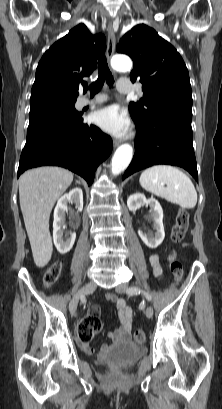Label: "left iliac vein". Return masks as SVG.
<instances>
[{
	"label": "left iliac vein",
	"instance_id": "obj_1",
	"mask_svg": "<svg viewBox=\"0 0 222 409\" xmlns=\"http://www.w3.org/2000/svg\"><path fill=\"white\" fill-rule=\"evenodd\" d=\"M128 288V285L125 283H121L119 285L116 286L115 291L117 293L123 294L126 293ZM145 315L147 318H151L153 316V308L151 306H148L145 310Z\"/></svg>",
	"mask_w": 222,
	"mask_h": 409
}]
</instances>
